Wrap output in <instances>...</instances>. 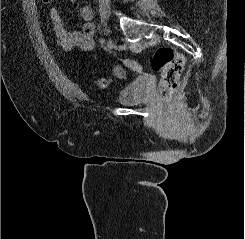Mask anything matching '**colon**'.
I'll list each match as a JSON object with an SVG mask.
<instances>
[{"mask_svg":"<svg viewBox=\"0 0 245 239\" xmlns=\"http://www.w3.org/2000/svg\"><path fill=\"white\" fill-rule=\"evenodd\" d=\"M49 4L52 0H41ZM185 65L184 56L170 46L158 47L152 57V67L160 73V94L166 101L170 100L175 92ZM113 78H124V70L116 66L113 70ZM112 78H100L95 84L100 89H107Z\"/></svg>","mask_w":245,"mask_h":239,"instance_id":"colon-1","label":"colon"}]
</instances>
